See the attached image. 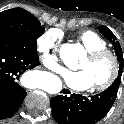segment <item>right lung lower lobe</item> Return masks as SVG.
Returning <instances> with one entry per match:
<instances>
[{"mask_svg":"<svg viewBox=\"0 0 124 124\" xmlns=\"http://www.w3.org/2000/svg\"><path fill=\"white\" fill-rule=\"evenodd\" d=\"M38 65L37 48L22 40L0 38V120L11 117L19 108L27 93L17 81L22 73Z\"/></svg>","mask_w":124,"mask_h":124,"instance_id":"right-lung-lower-lobe-1","label":"right lung lower lobe"}]
</instances>
